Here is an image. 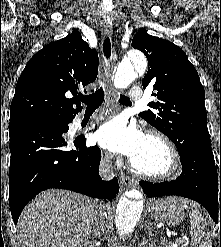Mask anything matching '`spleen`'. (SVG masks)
I'll return each mask as SVG.
<instances>
[{
  "label": "spleen",
  "mask_w": 221,
  "mask_h": 247,
  "mask_svg": "<svg viewBox=\"0 0 221 247\" xmlns=\"http://www.w3.org/2000/svg\"><path fill=\"white\" fill-rule=\"evenodd\" d=\"M188 209L191 224V242L193 247H212L210 235L206 232L207 223L195 206L187 202L184 204Z\"/></svg>",
  "instance_id": "obj_1"
}]
</instances>
